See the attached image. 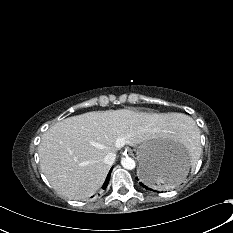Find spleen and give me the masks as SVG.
Here are the masks:
<instances>
[{
	"mask_svg": "<svg viewBox=\"0 0 233 233\" xmlns=\"http://www.w3.org/2000/svg\"><path fill=\"white\" fill-rule=\"evenodd\" d=\"M181 127L177 131L181 141L178 143V150L181 153H186V159L189 162H196L199 159V132L193 121L189 117L181 118ZM186 177V176H185ZM185 177H181L177 183L170 185L175 187L183 181Z\"/></svg>",
	"mask_w": 233,
	"mask_h": 233,
	"instance_id": "spleen-1",
	"label": "spleen"
}]
</instances>
